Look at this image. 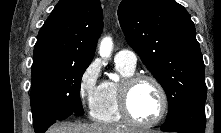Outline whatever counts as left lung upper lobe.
I'll return each instance as SVG.
<instances>
[{
  "instance_id": "left-lung-upper-lobe-1",
  "label": "left lung upper lobe",
  "mask_w": 221,
  "mask_h": 133,
  "mask_svg": "<svg viewBox=\"0 0 221 133\" xmlns=\"http://www.w3.org/2000/svg\"><path fill=\"white\" fill-rule=\"evenodd\" d=\"M118 17L128 44L166 92V121L205 102L204 62L194 23L182 5L174 0H122Z\"/></svg>"
}]
</instances>
